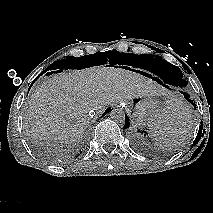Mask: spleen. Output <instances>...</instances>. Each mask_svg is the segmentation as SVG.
Instances as JSON below:
<instances>
[{
    "label": "spleen",
    "instance_id": "obj_1",
    "mask_svg": "<svg viewBox=\"0 0 213 213\" xmlns=\"http://www.w3.org/2000/svg\"><path fill=\"white\" fill-rule=\"evenodd\" d=\"M190 121V107L182 102L173 101L148 129L157 145L169 148L180 143L190 127Z\"/></svg>",
    "mask_w": 213,
    "mask_h": 213
}]
</instances>
